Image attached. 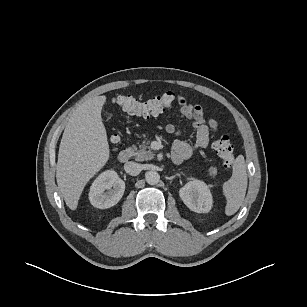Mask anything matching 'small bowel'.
<instances>
[{"instance_id":"1","label":"small bowel","mask_w":307,"mask_h":307,"mask_svg":"<svg viewBox=\"0 0 307 307\" xmlns=\"http://www.w3.org/2000/svg\"><path fill=\"white\" fill-rule=\"evenodd\" d=\"M173 95L180 105V116L192 120V127L196 131V144L194 147L181 139L174 141L172 146V158L175 163L179 164L191 158L199 149L207 147L211 134L216 132L218 129V123L214 119L206 120L203 109L200 105L191 104L180 95ZM165 129L169 134H176L178 136L182 134L181 130L172 123L167 124Z\"/></svg>"}]
</instances>
